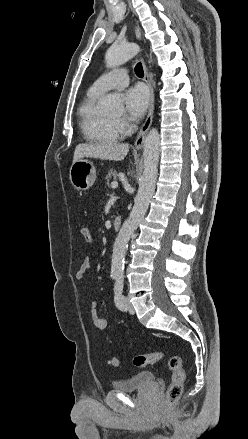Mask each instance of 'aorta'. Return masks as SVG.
I'll use <instances>...</instances> for the list:
<instances>
[{
	"label": "aorta",
	"instance_id": "obj_1",
	"mask_svg": "<svg viewBox=\"0 0 248 439\" xmlns=\"http://www.w3.org/2000/svg\"><path fill=\"white\" fill-rule=\"evenodd\" d=\"M139 51V46L135 43H125L109 47L105 55L106 66L114 68L122 65L133 58ZM102 107L107 111H114L120 107V99L116 95H107L101 101ZM160 153V135L157 129H151L144 142V165L143 175L133 209L128 219L123 223L113 245L111 261V274L122 276L124 270V260L131 236L138 228L144 218L150 200L155 191L158 172V161Z\"/></svg>",
	"mask_w": 248,
	"mask_h": 439
}]
</instances>
